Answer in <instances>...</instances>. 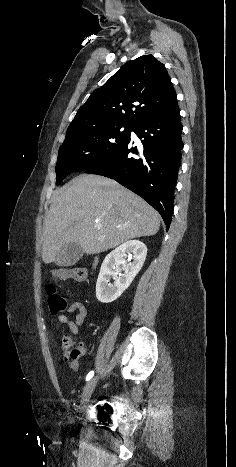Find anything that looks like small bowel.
I'll use <instances>...</instances> for the list:
<instances>
[{
  "label": "small bowel",
  "instance_id": "c3829d8e",
  "mask_svg": "<svg viewBox=\"0 0 236 467\" xmlns=\"http://www.w3.org/2000/svg\"><path fill=\"white\" fill-rule=\"evenodd\" d=\"M65 311L67 313L76 312L75 319H69L68 316L64 313L59 314L57 319L61 324L67 325L72 334L77 335L84 325L85 319L87 317V309L83 303L74 301L66 305ZM82 351H86V349H83Z\"/></svg>",
  "mask_w": 236,
  "mask_h": 467
}]
</instances>
